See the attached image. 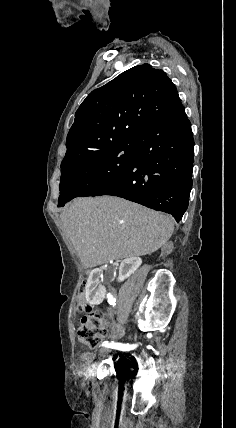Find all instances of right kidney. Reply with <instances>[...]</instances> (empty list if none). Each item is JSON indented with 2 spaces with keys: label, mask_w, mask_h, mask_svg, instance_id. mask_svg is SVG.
<instances>
[{
  "label": "right kidney",
  "mask_w": 236,
  "mask_h": 428,
  "mask_svg": "<svg viewBox=\"0 0 236 428\" xmlns=\"http://www.w3.org/2000/svg\"><path fill=\"white\" fill-rule=\"evenodd\" d=\"M142 264L141 258L139 256H129L126 260H122L119 266V276L118 282H124L126 278H129L131 274H134ZM103 277L102 269H93L86 284V300L88 304H101L102 298L100 292L107 291L106 283H98L97 278ZM96 288V290H95Z\"/></svg>",
  "instance_id": "right-kidney-1"
}]
</instances>
